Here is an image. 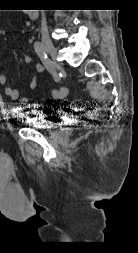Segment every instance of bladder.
I'll use <instances>...</instances> for the list:
<instances>
[{
  "label": "bladder",
  "mask_w": 138,
  "mask_h": 253,
  "mask_svg": "<svg viewBox=\"0 0 138 253\" xmlns=\"http://www.w3.org/2000/svg\"><path fill=\"white\" fill-rule=\"evenodd\" d=\"M46 109L45 111H48ZM23 123L29 128L37 130H51L56 127L52 121L47 120V113L44 111L28 110L21 113Z\"/></svg>",
  "instance_id": "31cf9c89"
}]
</instances>
